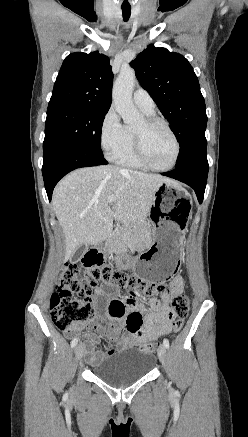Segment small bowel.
I'll list each match as a JSON object with an SVG mask.
<instances>
[{
    "label": "small bowel",
    "mask_w": 248,
    "mask_h": 437,
    "mask_svg": "<svg viewBox=\"0 0 248 437\" xmlns=\"http://www.w3.org/2000/svg\"><path fill=\"white\" fill-rule=\"evenodd\" d=\"M172 292H182L184 282L177 276L170 285ZM93 301L106 313L98 314L92 327L103 332L108 344L102 351L94 349V343L99 341L97 336L87 337L84 342L86 361L90 365H97L106 356L116 353L120 348H132L147 342L157 340L169 334L172 329V319L169 316V295L164 293L160 299L149 302V311L142 315L137 297L128 292L122 298V293L115 290L112 284H101L94 288ZM116 323H125L127 332L120 333ZM108 325V326H105ZM82 325H73L64 331L66 337L71 338L79 334Z\"/></svg>",
    "instance_id": "1"
}]
</instances>
